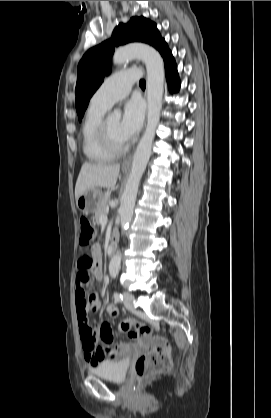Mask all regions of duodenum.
<instances>
[{
	"instance_id": "1",
	"label": "duodenum",
	"mask_w": 271,
	"mask_h": 418,
	"mask_svg": "<svg viewBox=\"0 0 271 418\" xmlns=\"http://www.w3.org/2000/svg\"><path fill=\"white\" fill-rule=\"evenodd\" d=\"M117 242H118V236H117V234H116V233H114V234L112 235L111 242H110V245H109V254H110L111 256L114 254V252H115V250H116V247H117Z\"/></svg>"
}]
</instances>
